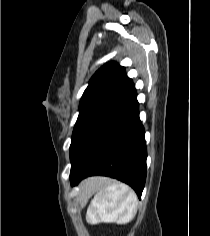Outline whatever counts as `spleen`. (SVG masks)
I'll return each instance as SVG.
<instances>
[{
  "instance_id": "1",
  "label": "spleen",
  "mask_w": 210,
  "mask_h": 236,
  "mask_svg": "<svg viewBox=\"0 0 210 236\" xmlns=\"http://www.w3.org/2000/svg\"><path fill=\"white\" fill-rule=\"evenodd\" d=\"M98 189L87 209V220L97 223H129L137 213L136 193L123 183L107 184L103 179L83 185L85 194Z\"/></svg>"
}]
</instances>
